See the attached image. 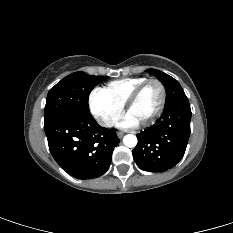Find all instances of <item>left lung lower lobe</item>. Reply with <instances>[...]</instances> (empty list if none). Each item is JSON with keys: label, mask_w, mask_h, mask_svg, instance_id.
I'll return each mask as SVG.
<instances>
[{"label": "left lung lower lobe", "mask_w": 233, "mask_h": 233, "mask_svg": "<svg viewBox=\"0 0 233 233\" xmlns=\"http://www.w3.org/2000/svg\"><path fill=\"white\" fill-rule=\"evenodd\" d=\"M191 108L186 96L165 106L157 122L138 135L132 151L138 167L149 172L173 168L184 156L190 136Z\"/></svg>", "instance_id": "0a47b994"}]
</instances>
